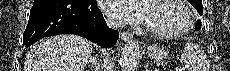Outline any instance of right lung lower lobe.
I'll return each instance as SVG.
<instances>
[{"instance_id": "1", "label": "right lung lower lobe", "mask_w": 230, "mask_h": 71, "mask_svg": "<svg viewBox=\"0 0 230 71\" xmlns=\"http://www.w3.org/2000/svg\"><path fill=\"white\" fill-rule=\"evenodd\" d=\"M58 34H76L103 47L114 46L119 38L106 25L96 0H34L23 35L25 48Z\"/></svg>"}]
</instances>
